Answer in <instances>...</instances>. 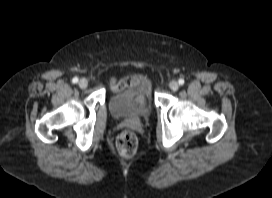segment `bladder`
<instances>
[{
  "label": "bladder",
  "instance_id": "obj_1",
  "mask_svg": "<svg viewBox=\"0 0 272 198\" xmlns=\"http://www.w3.org/2000/svg\"><path fill=\"white\" fill-rule=\"evenodd\" d=\"M110 114L116 119H145L151 110V87L141 85L114 93L108 100Z\"/></svg>",
  "mask_w": 272,
  "mask_h": 198
}]
</instances>
